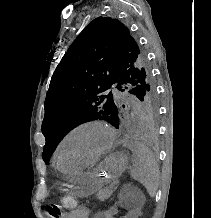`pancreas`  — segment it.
<instances>
[{
	"label": "pancreas",
	"mask_w": 211,
	"mask_h": 218,
	"mask_svg": "<svg viewBox=\"0 0 211 218\" xmlns=\"http://www.w3.org/2000/svg\"><path fill=\"white\" fill-rule=\"evenodd\" d=\"M115 184H110L108 188H105V190H100V192H98L97 196L99 200H101V202H104V200H108V198H110L111 194H113L114 190H116L117 188Z\"/></svg>",
	"instance_id": "1"
}]
</instances>
